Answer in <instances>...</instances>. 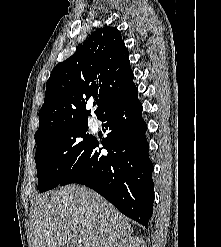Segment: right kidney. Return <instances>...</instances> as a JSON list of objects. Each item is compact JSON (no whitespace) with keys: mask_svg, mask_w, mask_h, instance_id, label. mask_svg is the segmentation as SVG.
Returning a JSON list of instances; mask_svg holds the SVG:
<instances>
[{"mask_svg":"<svg viewBox=\"0 0 221 247\" xmlns=\"http://www.w3.org/2000/svg\"><path fill=\"white\" fill-rule=\"evenodd\" d=\"M111 247H145V244L142 238L128 236L115 242Z\"/></svg>","mask_w":221,"mask_h":247,"instance_id":"ca27d5eb","label":"right kidney"}]
</instances>
